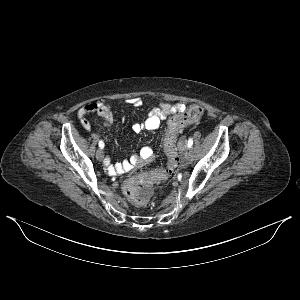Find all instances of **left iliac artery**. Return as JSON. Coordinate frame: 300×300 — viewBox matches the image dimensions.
<instances>
[{"label": "left iliac artery", "mask_w": 300, "mask_h": 300, "mask_svg": "<svg viewBox=\"0 0 300 300\" xmlns=\"http://www.w3.org/2000/svg\"><path fill=\"white\" fill-rule=\"evenodd\" d=\"M192 145H193V139H192V138H189L188 144H187L188 148H191Z\"/></svg>", "instance_id": "44dca946"}]
</instances>
